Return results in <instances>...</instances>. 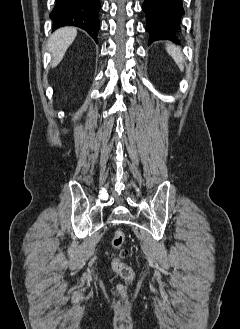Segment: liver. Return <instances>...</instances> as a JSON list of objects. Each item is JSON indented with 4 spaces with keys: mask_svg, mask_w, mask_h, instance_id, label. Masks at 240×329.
<instances>
[{
    "mask_svg": "<svg viewBox=\"0 0 240 329\" xmlns=\"http://www.w3.org/2000/svg\"><path fill=\"white\" fill-rule=\"evenodd\" d=\"M77 36L73 27H63L56 30L48 40V49L52 55L51 66L56 67L63 59L65 52Z\"/></svg>",
    "mask_w": 240,
    "mask_h": 329,
    "instance_id": "obj_1",
    "label": "liver"
}]
</instances>
